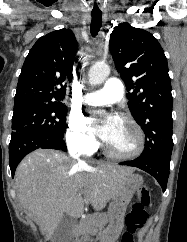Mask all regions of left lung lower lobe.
<instances>
[{
	"mask_svg": "<svg viewBox=\"0 0 187 242\" xmlns=\"http://www.w3.org/2000/svg\"><path fill=\"white\" fill-rule=\"evenodd\" d=\"M171 153L158 154L153 156H140L132 161L122 162L120 164L137 167L142 169L159 182L163 192L166 190L169 177Z\"/></svg>",
	"mask_w": 187,
	"mask_h": 242,
	"instance_id": "0a47b994",
	"label": "left lung lower lobe"
}]
</instances>
